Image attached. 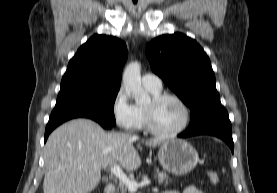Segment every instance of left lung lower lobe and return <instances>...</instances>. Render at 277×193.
<instances>
[{
	"label": "left lung lower lobe",
	"mask_w": 277,
	"mask_h": 193,
	"mask_svg": "<svg viewBox=\"0 0 277 193\" xmlns=\"http://www.w3.org/2000/svg\"><path fill=\"white\" fill-rule=\"evenodd\" d=\"M196 135H213L219 137L229 145L232 152L234 151L231 123L226 110L214 112L203 117L197 123L189 126L178 137L186 138Z\"/></svg>",
	"instance_id": "1"
}]
</instances>
